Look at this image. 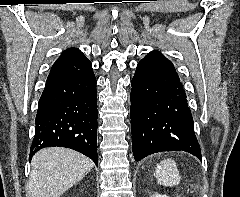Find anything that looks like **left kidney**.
Here are the masks:
<instances>
[{"label": "left kidney", "instance_id": "left-kidney-1", "mask_svg": "<svg viewBox=\"0 0 240 197\" xmlns=\"http://www.w3.org/2000/svg\"><path fill=\"white\" fill-rule=\"evenodd\" d=\"M150 197H169V196H166V195H162V194H158V193H155L153 194L152 196Z\"/></svg>", "mask_w": 240, "mask_h": 197}]
</instances>
